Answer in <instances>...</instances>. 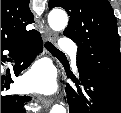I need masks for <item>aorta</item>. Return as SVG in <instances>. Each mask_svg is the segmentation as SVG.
Listing matches in <instances>:
<instances>
[{"label":"aorta","instance_id":"762f6f07","mask_svg":"<svg viewBox=\"0 0 121 113\" xmlns=\"http://www.w3.org/2000/svg\"><path fill=\"white\" fill-rule=\"evenodd\" d=\"M48 23L54 31H62L68 24V17L65 11L61 9H53L48 15ZM51 113H66V109L62 103L55 104Z\"/></svg>","mask_w":121,"mask_h":113}]
</instances>
